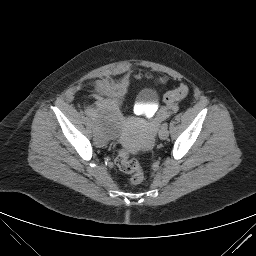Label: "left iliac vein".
Segmentation results:
<instances>
[{
	"label": "left iliac vein",
	"mask_w": 256,
	"mask_h": 256,
	"mask_svg": "<svg viewBox=\"0 0 256 256\" xmlns=\"http://www.w3.org/2000/svg\"><path fill=\"white\" fill-rule=\"evenodd\" d=\"M159 138L162 140H165L168 138L169 136V131L167 129V127L165 126H161L159 132H158Z\"/></svg>",
	"instance_id": "obj_1"
}]
</instances>
